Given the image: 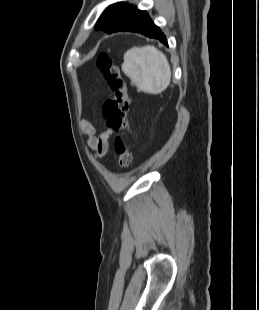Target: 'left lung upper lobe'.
I'll list each match as a JSON object with an SVG mask.
<instances>
[{
    "mask_svg": "<svg viewBox=\"0 0 259 310\" xmlns=\"http://www.w3.org/2000/svg\"><path fill=\"white\" fill-rule=\"evenodd\" d=\"M134 9L133 5H125L122 2L110 5L98 19L95 29L111 33L120 21Z\"/></svg>",
    "mask_w": 259,
    "mask_h": 310,
    "instance_id": "obj_1",
    "label": "left lung upper lobe"
}]
</instances>
